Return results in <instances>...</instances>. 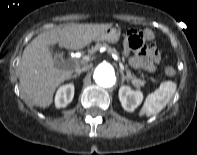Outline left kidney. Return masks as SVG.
Returning a JSON list of instances; mask_svg holds the SVG:
<instances>
[{
  "label": "left kidney",
  "instance_id": "5707ae66",
  "mask_svg": "<svg viewBox=\"0 0 197 155\" xmlns=\"http://www.w3.org/2000/svg\"><path fill=\"white\" fill-rule=\"evenodd\" d=\"M119 100L126 111L133 112L141 104L143 93L140 90L134 91L129 86L122 85L119 89Z\"/></svg>",
  "mask_w": 197,
  "mask_h": 155
}]
</instances>
